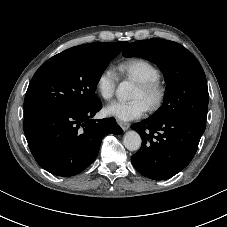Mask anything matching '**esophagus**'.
I'll list each match as a JSON object with an SVG mask.
<instances>
[{"instance_id": "obj_1", "label": "esophagus", "mask_w": 227, "mask_h": 227, "mask_svg": "<svg viewBox=\"0 0 227 227\" xmlns=\"http://www.w3.org/2000/svg\"><path fill=\"white\" fill-rule=\"evenodd\" d=\"M117 123L119 124V126L122 128V130L126 131L130 128V124L127 122H123L120 120H117Z\"/></svg>"}]
</instances>
